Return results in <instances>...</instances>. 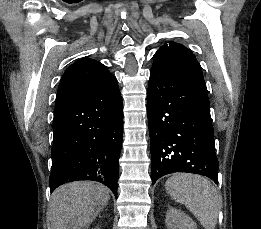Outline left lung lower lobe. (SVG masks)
Returning a JSON list of instances; mask_svg holds the SVG:
<instances>
[{
  "instance_id": "left-lung-lower-lobe-1",
  "label": "left lung lower lobe",
  "mask_w": 261,
  "mask_h": 229,
  "mask_svg": "<svg viewBox=\"0 0 261 229\" xmlns=\"http://www.w3.org/2000/svg\"><path fill=\"white\" fill-rule=\"evenodd\" d=\"M147 115L153 184L177 172L200 174L218 183L219 162L203 78L152 67Z\"/></svg>"
}]
</instances>
